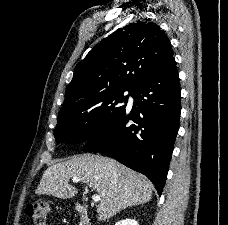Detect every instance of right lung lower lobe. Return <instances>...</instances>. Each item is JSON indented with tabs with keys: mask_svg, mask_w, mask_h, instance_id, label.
I'll list each match as a JSON object with an SVG mask.
<instances>
[{
	"mask_svg": "<svg viewBox=\"0 0 228 225\" xmlns=\"http://www.w3.org/2000/svg\"><path fill=\"white\" fill-rule=\"evenodd\" d=\"M134 104L125 108L97 134L83 151H102L146 175L159 196L166 182L179 128L181 89L175 58L138 84ZM133 121V124L129 122Z\"/></svg>",
	"mask_w": 228,
	"mask_h": 225,
	"instance_id": "obj_1",
	"label": "right lung lower lobe"
}]
</instances>
